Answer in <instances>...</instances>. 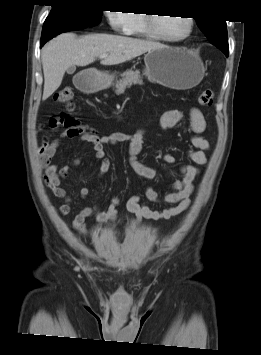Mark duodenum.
<instances>
[{
    "label": "duodenum",
    "instance_id": "duodenum-1",
    "mask_svg": "<svg viewBox=\"0 0 261 355\" xmlns=\"http://www.w3.org/2000/svg\"><path fill=\"white\" fill-rule=\"evenodd\" d=\"M78 87L82 90H89L95 88V85L89 82L88 80H81L78 83Z\"/></svg>",
    "mask_w": 261,
    "mask_h": 355
}]
</instances>
